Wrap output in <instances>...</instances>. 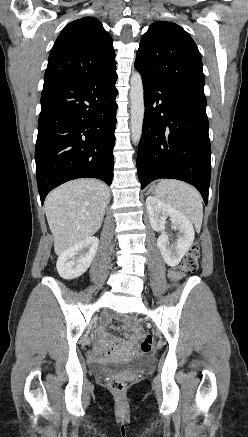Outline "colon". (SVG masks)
I'll list each match as a JSON object with an SVG mask.
<instances>
[{
    "label": "colon",
    "instance_id": "obj_1",
    "mask_svg": "<svg viewBox=\"0 0 248 437\" xmlns=\"http://www.w3.org/2000/svg\"><path fill=\"white\" fill-rule=\"evenodd\" d=\"M200 251L198 244H193L188 252L183 257L181 263L171 268L168 271V277L171 282L176 283L186 275L196 271L198 267ZM154 345V340L151 336H146L139 345V350L142 353H149ZM108 387L116 394L121 395L125 392L126 384L118 378H109L107 380Z\"/></svg>",
    "mask_w": 248,
    "mask_h": 437
}]
</instances>
